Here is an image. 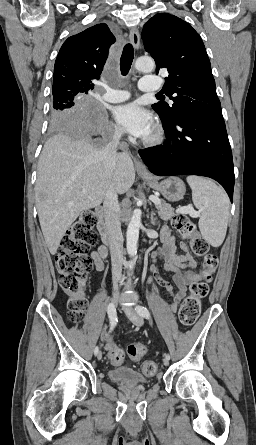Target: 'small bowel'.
Listing matches in <instances>:
<instances>
[{
	"mask_svg": "<svg viewBox=\"0 0 256 445\" xmlns=\"http://www.w3.org/2000/svg\"><path fill=\"white\" fill-rule=\"evenodd\" d=\"M180 247L185 252L183 255L176 253L174 238L170 235L168 229L164 227L162 245L152 253V265L150 266V272L153 277L171 295L172 302L170 309L172 311L177 309L179 303L186 296L187 288L192 283L201 279V274L193 270L195 261L187 252L186 244L182 242ZM106 257L107 251L102 246L92 252L91 258L97 271L104 269V260ZM158 263L162 264L165 272L172 275L173 283L159 273ZM111 341L112 338L109 337L108 343L110 344Z\"/></svg>",
	"mask_w": 256,
	"mask_h": 445,
	"instance_id": "obj_1",
	"label": "small bowel"
}]
</instances>
